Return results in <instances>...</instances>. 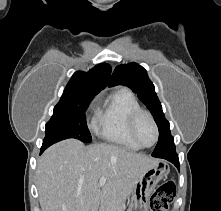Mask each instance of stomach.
I'll use <instances>...</instances> for the list:
<instances>
[{"instance_id": "obj_1", "label": "stomach", "mask_w": 221, "mask_h": 211, "mask_svg": "<svg viewBox=\"0 0 221 211\" xmlns=\"http://www.w3.org/2000/svg\"><path fill=\"white\" fill-rule=\"evenodd\" d=\"M170 168L164 161L142 169L131 193L128 211H148L147 202L158 182L167 178Z\"/></svg>"}]
</instances>
